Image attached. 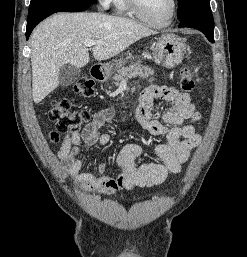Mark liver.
I'll return each mask as SVG.
<instances>
[{"instance_id": "obj_1", "label": "liver", "mask_w": 247, "mask_h": 257, "mask_svg": "<svg viewBox=\"0 0 247 257\" xmlns=\"http://www.w3.org/2000/svg\"><path fill=\"white\" fill-rule=\"evenodd\" d=\"M155 31L127 18L102 13H60L40 23L31 36L32 96L41 102L59 84L65 64L76 68L88 64L85 40L97 43L93 57L107 60Z\"/></svg>"}]
</instances>
